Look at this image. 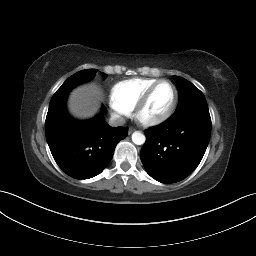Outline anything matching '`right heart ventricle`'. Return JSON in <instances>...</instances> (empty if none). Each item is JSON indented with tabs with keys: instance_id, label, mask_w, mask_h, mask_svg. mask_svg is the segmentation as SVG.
Instances as JSON below:
<instances>
[{
	"instance_id": "right-heart-ventricle-1",
	"label": "right heart ventricle",
	"mask_w": 256,
	"mask_h": 256,
	"mask_svg": "<svg viewBox=\"0 0 256 256\" xmlns=\"http://www.w3.org/2000/svg\"><path fill=\"white\" fill-rule=\"evenodd\" d=\"M157 81V79L133 78L115 84L110 93L112 105L128 111L133 110L144 92Z\"/></svg>"
}]
</instances>
